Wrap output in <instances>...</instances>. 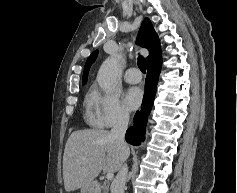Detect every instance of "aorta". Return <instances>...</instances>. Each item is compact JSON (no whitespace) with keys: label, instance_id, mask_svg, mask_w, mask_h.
<instances>
[{"label":"aorta","instance_id":"1","mask_svg":"<svg viewBox=\"0 0 237 193\" xmlns=\"http://www.w3.org/2000/svg\"><path fill=\"white\" fill-rule=\"evenodd\" d=\"M118 60L116 57H109L101 65L97 81L101 88L109 90L116 78L118 72Z\"/></svg>","mask_w":237,"mask_h":193}]
</instances>
